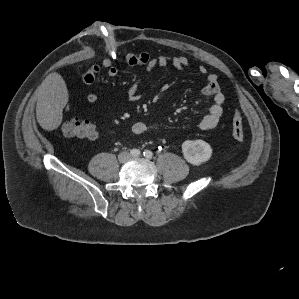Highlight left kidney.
Returning <instances> with one entry per match:
<instances>
[{"instance_id":"5707ae66","label":"left kidney","mask_w":299,"mask_h":299,"mask_svg":"<svg viewBox=\"0 0 299 299\" xmlns=\"http://www.w3.org/2000/svg\"><path fill=\"white\" fill-rule=\"evenodd\" d=\"M184 158L193 165L208 161L212 155L211 146L203 140H187L182 144Z\"/></svg>"}]
</instances>
